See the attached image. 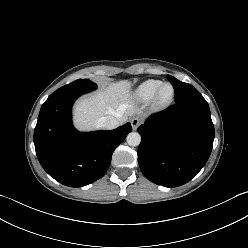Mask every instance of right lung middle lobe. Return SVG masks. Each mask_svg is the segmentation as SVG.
<instances>
[{"instance_id":"dd1d6c3e","label":"right lung middle lobe","mask_w":248,"mask_h":248,"mask_svg":"<svg viewBox=\"0 0 248 248\" xmlns=\"http://www.w3.org/2000/svg\"><path fill=\"white\" fill-rule=\"evenodd\" d=\"M97 88V85L90 80L87 79H78L74 82L65 85L58 90H65V89H77V90H86V91H93Z\"/></svg>"}]
</instances>
